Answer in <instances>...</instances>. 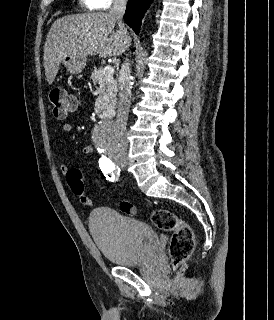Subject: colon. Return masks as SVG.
<instances>
[{
    "label": "colon",
    "mask_w": 274,
    "mask_h": 320,
    "mask_svg": "<svg viewBox=\"0 0 274 320\" xmlns=\"http://www.w3.org/2000/svg\"><path fill=\"white\" fill-rule=\"evenodd\" d=\"M49 102L52 106V114L58 120H63L73 112L76 106L75 99L66 93L64 88L56 87L49 92ZM67 182L73 193L80 198L86 196L83 182L86 176L81 175L78 168H71L66 172ZM121 211L128 216L137 213L133 203L123 200L119 204ZM152 222L163 232H170L172 236L170 244V258L174 267H180L193 253L195 249V238L190 225L178 218L168 209H159L152 214Z\"/></svg>",
    "instance_id": "obj_1"
}]
</instances>
